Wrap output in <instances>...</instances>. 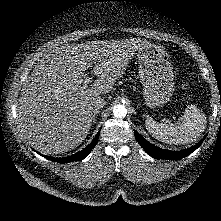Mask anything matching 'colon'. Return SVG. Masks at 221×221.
I'll list each match as a JSON object with an SVG mask.
<instances>
[{
    "label": "colon",
    "instance_id": "5ec220e1",
    "mask_svg": "<svg viewBox=\"0 0 221 221\" xmlns=\"http://www.w3.org/2000/svg\"><path fill=\"white\" fill-rule=\"evenodd\" d=\"M188 86H189L188 83H184V84L182 85V88L187 89Z\"/></svg>",
    "mask_w": 221,
    "mask_h": 221
}]
</instances>
